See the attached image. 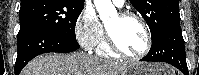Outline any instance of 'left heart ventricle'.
<instances>
[{"mask_svg":"<svg viewBox=\"0 0 199 75\" xmlns=\"http://www.w3.org/2000/svg\"><path fill=\"white\" fill-rule=\"evenodd\" d=\"M106 27L118 46L129 55L141 53L146 44L144 30L134 19H121L115 16Z\"/></svg>","mask_w":199,"mask_h":75,"instance_id":"b2bd125f","label":"left heart ventricle"}]
</instances>
